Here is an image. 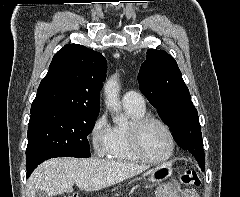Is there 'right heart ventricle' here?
<instances>
[{
  "label": "right heart ventricle",
  "mask_w": 240,
  "mask_h": 197,
  "mask_svg": "<svg viewBox=\"0 0 240 197\" xmlns=\"http://www.w3.org/2000/svg\"><path fill=\"white\" fill-rule=\"evenodd\" d=\"M125 108L132 121L145 116V108L137 109L126 106ZM128 127L129 126L120 125L112 127L111 145L107 156L111 160L138 163L141 160L133 152L130 146L128 138Z\"/></svg>",
  "instance_id": "1"
}]
</instances>
